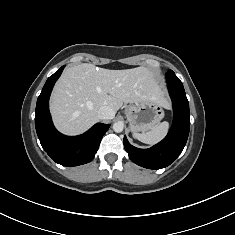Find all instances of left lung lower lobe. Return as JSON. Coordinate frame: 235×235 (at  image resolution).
Returning a JSON list of instances; mask_svg holds the SVG:
<instances>
[{"instance_id":"obj_1","label":"left lung lower lobe","mask_w":235,"mask_h":235,"mask_svg":"<svg viewBox=\"0 0 235 235\" xmlns=\"http://www.w3.org/2000/svg\"><path fill=\"white\" fill-rule=\"evenodd\" d=\"M169 94L173 103V125L167 136L149 149L132 146L124 136V147L129 158L142 167L161 169L170 165L182 152L190 130L189 103L182 82L175 74H166Z\"/></svg>"}]
</instances>
